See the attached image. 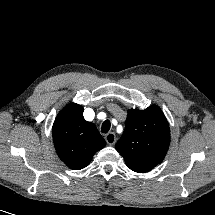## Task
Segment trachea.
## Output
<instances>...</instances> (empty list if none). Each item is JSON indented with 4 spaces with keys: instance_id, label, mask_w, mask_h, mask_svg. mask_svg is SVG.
Wrapping results in <instances>:
<instances>
[{
    "instance_id": "1",
    "label": "trachea",
    "mask_w": 215,
    "mask_h": 215,
    "mask_svg": "<svg viewBox=\"0 0 215 215\" xmlns=\"http://www.w3.org/2000/svg\"><path fill=\"white\" fill-rule=\"evenodd\" d=\"M111 127V123L109 120H105L102 124V127H101V132L102 133H107L109 131Z\"/></svg>"
}]
</instances>
